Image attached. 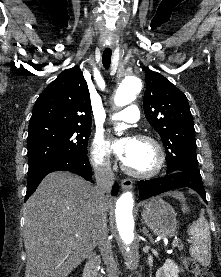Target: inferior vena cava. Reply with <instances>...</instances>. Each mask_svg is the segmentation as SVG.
<instances>
[{"label":"inferior vena cava","instance_id":"inferior-vena-cava-1","mask_svg":"<svg viewBox=\"0 0 221 277\" xmlns=\"http://www.w3.org/2000/svg\"><path fill=\"white\" fill-rule=\"evenodd\" d=\"M94 174L99 195V245L101 254L106 265L107 277H119L117 263L112 252V245L108 239V229L106 222L107 198L115 181L114 173L109 161H103L94 166Z\"/></svg>","mask_w":221,"mask_h":277}]
</instances>
